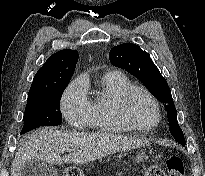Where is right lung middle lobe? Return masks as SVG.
I'll return each instance as SVG.
<instances>
[{
	"label": "right lung middle lobe",
	"instance_id": "1",
	"mask_svg": "<svg viewBox=\"0 0 205 176\" xmlns=\"http://www.w3.org/2000/svg\"><path fill=\"white\" fill-rule=\"evenodd\" d=\"M67 84L50 92L28 96L21 134L41 126H57L62 123L60 99Z\"/></svg>",
	"mask_w": 205,
	"mask_h": 176
}]
</instances>
